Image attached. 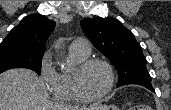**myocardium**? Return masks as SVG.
Masks as SVG:
<instances>
[{
	"label": "myocardium",
	"instance_id": "1",
	"mask_svg": "<svg viewBox=\"0 0 171 110\" xmlns=\"http://www.w3.org/2000/svg\"><path fill=\"white\" fill-rule=\"evenodd\" d=\"M95 64L103 65L107 69L109 73V83L106 89L102 93L91 96V95H88L83 90L81 86V76L89 67ZM115 80H116V76H115V71H114L113 66L108 61L104 59H100V58L86 59L85 61L80 63L78 66H76L75 70L72 72V75H71V85H72L74 95L79 101L85 102V103L95 102L108 96L111 93L112 89L114 88Z\"/></svg>",
	"mask_w": 171,
	"mask_h": 110
}]
</instances>
